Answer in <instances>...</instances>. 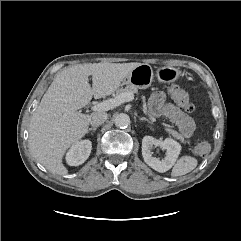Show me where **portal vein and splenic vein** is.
<instances>
[{"mask_svg": "<svg viewBox=\"0 0 241 241\" xmlns=\"http://www.w3.org/2000/svg\"><path fill=\"white\" fill-rule=\"evenodd\" d=\"M133 99H134V94L131 92H126V93L119 94L114 98L94 104L91 107V109L93 111H108L110 109H113V108L121 105L124 102L132 101ZM144 110L146 111V107H144Z\"/></svg>", "mask_w": 241, "mask_h": 241, "instance_id": "18ae733b", "label": "portal vein and splenic vein"}]
</instances>
